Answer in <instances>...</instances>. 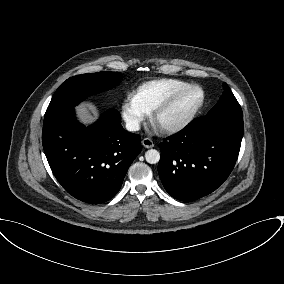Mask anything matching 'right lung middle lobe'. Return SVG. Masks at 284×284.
I'll list each match as a JSON object with an SVG mask.
<instances>
[{
  "label": "right lung middle lobe",
  "mask_w": 284,
  "mask_h": 284,
  "mask_svg": "<svg viewBox=\"0 0 284 284\" xmlns=\"http://www.w3.org/2000/svg\"><path fill=\"white\" fill-rule=\"evenodd\" d=\"M120 78L119 72H98L67 79L54 93L46 110L44 122L65 110L74 108L89 95L113 88Z\"/></svg>",
  "instance_id": "1"
}]
</instances>
